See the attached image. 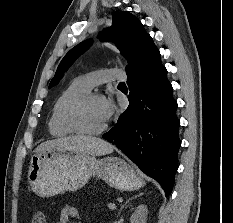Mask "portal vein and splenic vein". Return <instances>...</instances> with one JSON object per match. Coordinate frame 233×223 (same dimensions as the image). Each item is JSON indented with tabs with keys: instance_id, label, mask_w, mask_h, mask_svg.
Here are the masks:
<instances>
[{
	"instance_id": "1",
	"label": "portal vein and splenic vein",
	"mask_w": 233,
	"mask_h": 223,
	"mask_svg": "<svg viewBox=\"0 0 233 223\" xmlns=\"http://www.w3.org/2000/svg\"><path fill=\"white\" fill-rule=\"evenodd\" d=\"M108 207H110V209H115V203H108Z\"/></svg>"
}]
</instances>
